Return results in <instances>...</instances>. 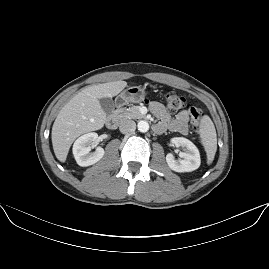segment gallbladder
I'll list each match as a JSON object with an SVG mask.
<instances>
[{"label":"gallbladder","mask_w":269,"mask_h":269,"mask_svg":"<svg viewBox=\"0 0 269 269\" xmlns=\"http://www.w3.org/2000/svg\"><path fill=\"white\" fill-rule=\"evenodd\" d=\"M99 103L101 105V108L107 115H110L113 113L115 104L111 98H101L99 99Z\"/></svg>","instance_id":"gallbladder-1"}]
</instances>
